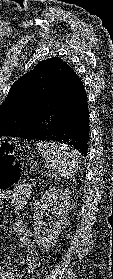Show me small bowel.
I'll use <instances>...</instances> for the list:
<instances>
[{
	"mask_svg": "<svg viewBox=\"0 0 113 279\" xmlns=\"http://www.w3.org/2000/svg\"><path fill=\"white\" fill-rule=\"evenodd\" d=\"M8 200L17 207L25 204V196L14 194H1L0 199ZM13 231L18 237V244L23 249L24 268L19 271L3 269L0 264V279H24L27 274L34 272L37 265V258L34 253L31 232L23 221H16L13 224Z\"/></svg>",
	"mask_w": 113,
	"mask_h": 279,
	"instance_id": "small-bowel-1",
	"label": "small bowel"
}]
</instances>
